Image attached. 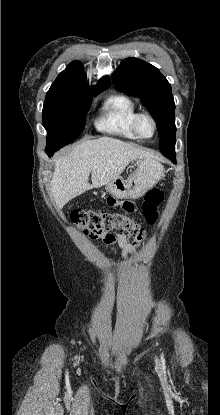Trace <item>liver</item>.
I'll use <instances>...</instances> for the list:
<instances>
[{
	"mask_svg": "<svg viewBox=\"0 0 220 415\" xmlns=\"http://www.w3.org/2000/svg\"><path fill=\"white\" fill-rule=\"evenodd\" d=\"M152 156L130 143L111 137L83 141L66 156L55 159L51 195L57 207L62 208L72 198L118 178L132 160ZM90 173L92 184L88 182Z\"/></svg>",
	"mask_w": 220,
	"mask_h": 415,
	"instance_id": "obj_1",
	"label": "liver"
}]
</instances>
